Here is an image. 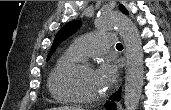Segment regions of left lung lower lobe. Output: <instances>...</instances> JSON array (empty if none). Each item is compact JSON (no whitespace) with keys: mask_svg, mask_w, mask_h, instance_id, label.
Instances as JSON below:
<instances>
[{"mask_svg":"<svg viewBox=\"0 0 171 110\" xmlns=\"http://www.w3.org/2000/svg\"><path fill=\"white\" fill-rule=\"evenodd\" d=\"M120 93H121V88L118 90V93L112 98V100L118 101L121 97Z\"/></svg>","mask_w":171,"mask_h":110,"instance_id":"left-lung-lower-lobe-1","label":"left lung lower lobe"}]
</instances>
